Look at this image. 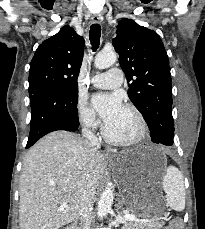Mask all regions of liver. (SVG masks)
<instances>
[{"label": "liver", "mask_w": 205, "mask_h": 229, "mask_svg": "<svg viewBox=\"0 0 205 229\" xmlns=\"http://www.w3.org/2000/svg\"><path fill=\"white\" fill-rule=\"evenodd\" d=\"M104 171V155L78 135L61 130L41 138L23 161L20 229H59L72 222L88 179L97 188Z\"/></svg>", "instance_id": "6515ba94"}]
</instances>
